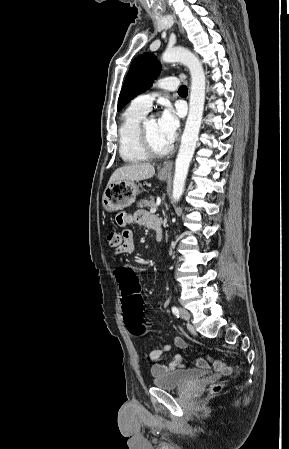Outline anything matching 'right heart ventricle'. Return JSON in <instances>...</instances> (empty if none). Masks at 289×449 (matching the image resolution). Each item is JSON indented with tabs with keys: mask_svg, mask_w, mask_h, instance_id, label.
<instances>
[{
	"mask_svg": "<svg viewBox=\"0 0 289 449\" xmlns=\"http://www.w3.org/2000/svg\"><path fill=\"white\" fill-rule=\"evenodd\" d=\"M147 111L131 104L122 114L118 129L119 153L128 163H137L147 159L140 144V125Z\"/></svg>",
	"mask_w": 289,
	"mask_h": 449,
	"instance_id": "right-heart-ventricle-1",
	"label": "right heart ventricle"
}]
</instances>
